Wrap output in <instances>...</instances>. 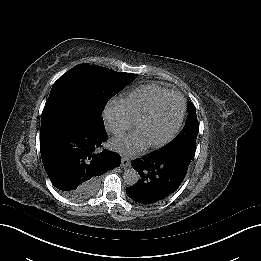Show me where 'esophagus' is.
<instances>
[{"label":"esophagus","instance_id":"1","mask_svg":"<svg viewBox=\"0 0 261 261\" xmlns=\"http://www.w3.org/2000/svg\"><path fill=\"white\" fill-rule=\"evenodd\" d=\"M131 164L130 159L128 157H123L121 161L122 167H128Z\"/></svg>","mask_w":261,"mask_h":261}]
</instances>
